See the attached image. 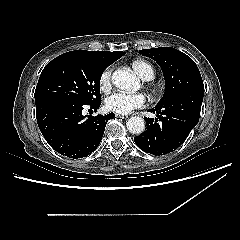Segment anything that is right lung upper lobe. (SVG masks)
I'll return each mask as SVG.
<instances>
[{"instance_id": "1", "label": "right lung upper lobe", "mask_w": 240, "mask_h": 240, "mask_svg": "<svg viewBox=\"0 0 240 240\" xmlns=\"http://www.w3.org/2000/svg\"><path fill=\"white\" fill-rule=\"evenodd\" d=\"M81 51H86V50H81ZM86 52L94 54V55L100 57L101 59H103L104 61H106L110 64H112L114 61H116L117 59L121 58L122 55H124V52H120V51H115V52H110V51H98V52L86 51Z\"/></svg>"}]
</instances>
